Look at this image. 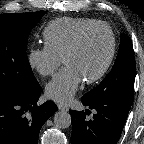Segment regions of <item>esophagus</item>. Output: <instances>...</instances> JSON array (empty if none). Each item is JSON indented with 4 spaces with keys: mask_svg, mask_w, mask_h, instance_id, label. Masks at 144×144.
Here are the masks:
<instances>
[{
    "mask_svg": "<svg viewBox=\"0 0 144 144\" xmlns=\"http://www.w3.org/2000/svg\"><path fill=\"white\" fill-rule=\"evenodd\" d=\"M57 107L60 111H68V107L63 104H57Z\"/></svg>",
    "mask_w": 144,
    "mask_h": 144,
    "instance_id": "34e87169",
    "label": "esophagus"
}]
</instances>
